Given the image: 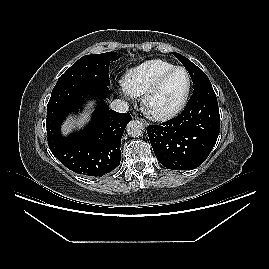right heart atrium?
<instances>
[{"mask_svg":"<svg viewBox=\"0 0 269 269\" xmlns=\"http://www.w3.org/2000/svg\"><path fill=\"white\" fill-rule=\"evenodd\" d=\"M119 93L126 99L128 100H133L135 98V95H133L131 92H129L125 86L123 85V83L121 84L120 88H119Z\"/></svg>","mask_w":269,"mask_h":269,"instance_id":"d8ad5b80","label":"right heart atrium"}]
</instances>
